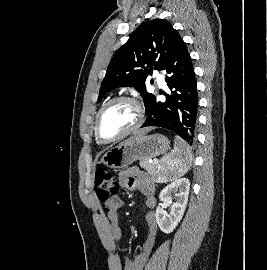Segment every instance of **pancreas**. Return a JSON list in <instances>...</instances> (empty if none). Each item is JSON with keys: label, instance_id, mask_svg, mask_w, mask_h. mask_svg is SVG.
Returning a JSON list of instances; mask_svg holds the SVG:
<instances>
[{"label": "pancreas", "instance_id": "obj_1", "mask_svg": "<svg viewBox=\"0 0 267 270\" xmlns=\"http://www.w3.org/2000/svg\"><path fill=\"white\" fill-rule=\"evenodd\" d=\"M140 166L145 169L151 176L154 181L159 180L160 171L158 169V163H149L148 160H142Z\"/></svg>", "mask_w": 267, "mask_h": 270}]
</instances>
